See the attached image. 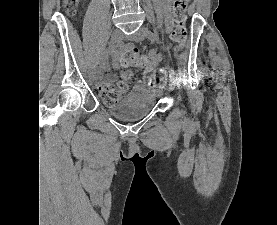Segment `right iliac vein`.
Instances as JSON below:
<instances>
[{
	"instance_id": "63e3f726",
	"label": "right iliac vein",
	"mask_w": 277,
	"mask_h": 225,
	"mask_svg": "<svg viewBox=\"0 0 277 225\" xmlns=\"http://www.w3.org/2000/svg\"><path fill=\"white\" fill-rule=\"evenodd\" d=\"M122 36H123L122 32L118 29H115L111 33L110 42L115 44V43L119 42V40L122 38ZM94 84H95L96 87L98 86V84H99V78L98 77H95Z\"/></svg>"
}]
</instances>
